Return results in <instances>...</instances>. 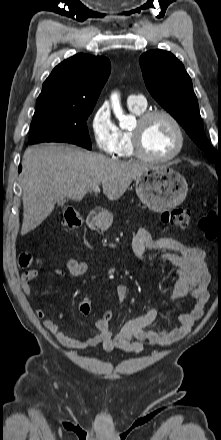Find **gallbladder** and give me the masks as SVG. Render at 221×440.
Returning <instances> with one entry per match:
<instances>
[{"instance_id": "obj_1", "label": "gallbladder", "mask_w": 221, "mask_h": 440, "mask_svg": "<svg viewBox=\"0 0 221 440\" xmlns=\"http://www.w3.org/2000/svg\"><path fill=\"white\" fill-rule=\"evenodd\" d=\"M57 204H58L59 206H63V205L65 204V200H64V199H61V200H59V201L57 202Z\"/></svg>"}]
</instances>
